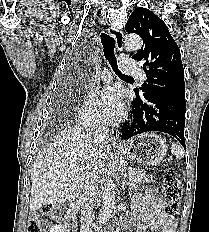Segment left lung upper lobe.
I'll list each match as a JSON object with an SVG mask.
<instances>
[{
  "label": "left lung upper lobe",
  "mask_w": 209,
  "mask_h": 232,
  "mask_svg": "<svg viewBox=\"0 0 209 232\" xmlns=\"http://www.w3.org/2000/svg\"><path fill=\"white\" fill-rule=\"evenodd\" d=\"M125 29L143 39L142 48L132 58L143 61L148 83L140 90L134 89L135 100L159 95L185 98L180 50L165 23L152 11L138 8L130 15Z\"/></svg>",
  "instance_id": "1"
}]
</instances>
